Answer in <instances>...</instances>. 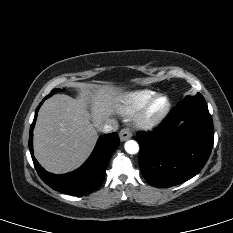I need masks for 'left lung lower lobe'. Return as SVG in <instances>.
<instances>
[{
	"instance_id": "left-lung-lower-lobe-1",
	"label": "left lung lower lobe",
	"mask_w": 233,
	"mask_h": 233,
	"mask_svg": "<svg viewBox=\"0 0 233 233\" xmlns=\"http://www.w3.org/2000/svg\"><path fill=\"white\" fill-rule=\"evenodd\" d=\"M136 139L140 169L148 183L162 188L189 180L204 167L213 147V122L205 99L185 98L160 126L138 132Z\"/></svg>"
}]
</instances>
